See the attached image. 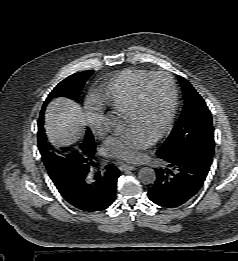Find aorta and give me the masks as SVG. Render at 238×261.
I'll use <instances>...</instances> for the list:
<instances>
[{"label":"aorta","mask_w":238,"mask_h":261,"mask_svg":"<svg viewBox=\"0 0 238 261\" xmlns=\"http://www.w3.org/2000/svg\"><path fill=\"white\" fill-rule=\"evenodd\" d=\"M107 124L112 129H121L124 127V121L114 115L108 117ZM138 178L143 184H152L156 180V172L150 167H143L138 172Z\"/></svg>","instance_id":"1"}]
</instances>
